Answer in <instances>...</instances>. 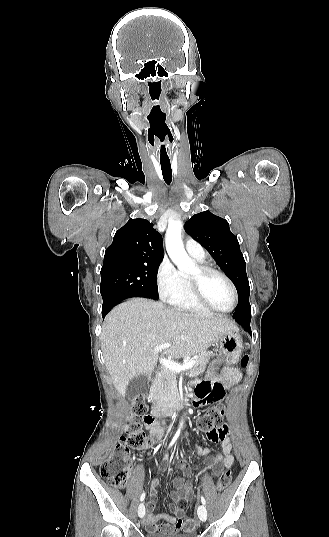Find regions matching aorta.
Masks as SVG:
<instances>
[{
	"instance_id": "1",
	"label": "aorta",
	"mask_w": 329,
	"mask_h": 537,
	"mask_svg": "<svg viewBox=\"0 0 329 537\" xmlns=\"http://www.w3.org/2000/svg\"><path fill=\"white\" fill-rule=\"evenodd\" d=\"M182 223L180 221H172L169 223L166 230V249L171 260L176 264L177 268L182 273L192 271L196 265L194 261L186 253L182 240ZM183 424V421L182 423Z\"/></svg>"
}]
</instances>
